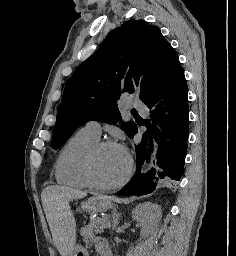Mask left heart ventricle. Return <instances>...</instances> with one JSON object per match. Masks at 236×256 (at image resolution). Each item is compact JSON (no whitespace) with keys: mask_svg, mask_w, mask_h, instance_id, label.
Wrapping results in <instances>:
<instances>
[{"mask_svg":"<svg viewBox=\"0 0 236 256\" xmlns=\"http://www.w3.org/2000/svg\"><path fill=\"white\" fill-rule=\"evenodd\" d=\"M127 168V155L121 153L115 146L104 149L96 159V175L105 185L117 182Z\"/></svg>","mask_w":236,"mask_h":256,"instance_id":"b2bd125f","label":"left heart ventricle"}]
</instances>
